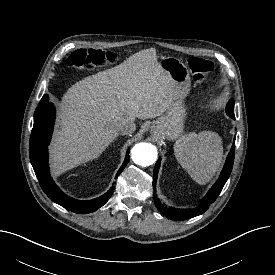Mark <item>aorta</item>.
<instances>
[{
	"label": "aorta",
	"mask_w": 275,
	"mask_h": 275,
	"mask_svg": "<svg viewBox=\"0 0 275 275\" xmlns=\"http://www.w3.org/2000/svg\"><path fill=\"white\" fill-rule=\"evenodd\" d=\"M131 158L137 165H152L157 160V149L149 143H138L131 150Z\"/></svg>",
	"instance_id": "aorta-1"
}]
</instances>
